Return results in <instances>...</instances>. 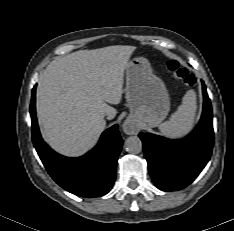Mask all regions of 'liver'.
Listing matches in <instances>:
<instances>
[{
	"instance_id": "obj_1",
	"label": "liver",
	"mask_w": 234,
	"mask_h": 231,
	"mask_svg": "<svg viewBox=\"0 0 234 231\" xmlns=\"http://www.w3.org/2000/svg\"><path fill=\"white\" fill-rule=\"evenodd\" d=\"M134 46L79 50L54 59L40 75L36 109L44 140L66 156L91 149L106 126L104 116L121 102L124 71Z\"/></svg>"
}]
</instances>
